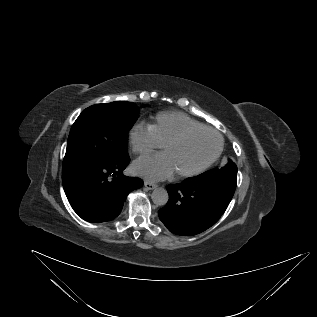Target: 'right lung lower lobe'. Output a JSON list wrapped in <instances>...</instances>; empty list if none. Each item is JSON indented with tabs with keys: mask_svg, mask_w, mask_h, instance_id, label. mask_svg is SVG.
Returning a JSON list of instances; mask_svg holds the SVG:
<instances>
[{
	"mask_svg": "<svg viewBox=\"0 0 317 317\" xmlns=\"http://www.w3.org/2000/svg\"><path fill=\"white\" fill-rule=\"evenodd\" d=\"M129 156L62 174L64 191L74 211L89 222H106L120 214L127 195L143 185L123 175Z\"/></svg>",
	"mask_w": 317,
	"mask_h": 317,
	"instance_id": "1",
	"label": "right lung lower lobe"
}]
</instances>
